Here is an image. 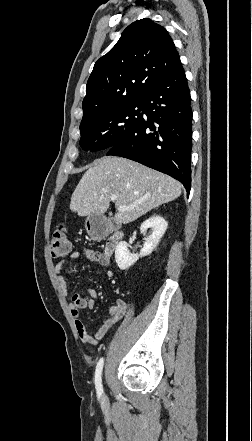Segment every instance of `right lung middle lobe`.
<instances>
[{"instance_id":"right-lung-middle-lobe-1","label":"right lung middle lobe","mask_w":252,"mask_h":441,"mask_svg":"<svg viewBox=\"0 0 252 441\" xmlns=\"http://www.w3.org/2000/svg\"><path fill=\"white\" fill-rule=\"evenodd\" d=\"M141 100L102 111L81 122L80 146L92 152L108 149L124 139L143 114Z\"/></svg>"}]
</instances>
